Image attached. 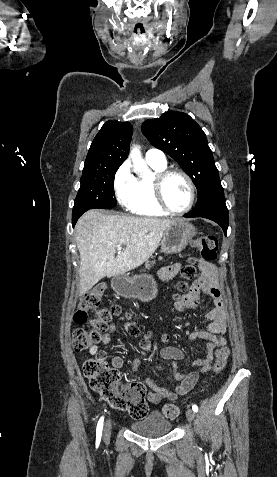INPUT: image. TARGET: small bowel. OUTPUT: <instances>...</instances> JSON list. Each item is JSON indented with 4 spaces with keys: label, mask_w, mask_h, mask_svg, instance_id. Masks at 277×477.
I'll list each match as a JSON object with an SVG mask.
<instances>
[{
    "label": "small bowel",
    "mask_w": 277,
    "mask_h": 477,
    "mask_svg": "<svg viewBox=\"0 0 277 477\" xmlns=\"http://www.w3.org/2000/svg\"><path fill=\"white\" fill-rule=\"evenodd\" d=\"M181 268V264H173L166 266L160 270L159 276L161 280L168 281L174 278ZM198 268L201 274L200 280L195 284L190 292L180 301L175 304L177 310H185L196 308L200 302V294L203 293L213 301V307L206 313L205 320L207 321L206 330L194 331L189 335V341L195 342L197 340H206L204 351L205 356L202 359L194 360L191 363L192 367L197 370L181 373L176 366H173L172 375L179 383L174 390L161 388L151 378H144L145 384L151 389L148 394L149 402L153 404L159 403L163 399L175 400L178 397L185 395L196 385L199 375L206 373L212 368L213 352L216 348L226 345V338L224 336L226 325V307L223 296L220 291V275L214 264L201 258L198 260ZM119 320H123L120 317ZM116 323H111L107 332L102 336L101 342L108 345L111 342V335L116 330ZM125 330L134 336H140L139 329L132 323H124ZM139 346L142 350L149 352L151 350V343L148 338L141 337ZM89 352L96 357H105L106 353L100 350L97 345L90 347ZM163 359L171 360L174 364L185 358L183 351L177 347L168 346L161 349L159 353ZM111 364L115 370H120L124 366V360L119 355H114ZM142 360L137 358L132 362V370L137 371ZM161 369V367H159Z\"/></svg>",
    "instance_id": "c3829d8e"
}]
</instances>
